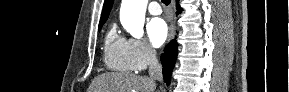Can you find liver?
I'll return each mask as SVG.
<instances>
[{
    "label": "liver",
    "instance_id": "1",
    "mask_svg": "<svg viewBox=\"0 0 289 92\" xmlns=\"http://www.w3.org/2000/svg\"><path fill=\"white\" fill-rule=\"evenodd\" d=\"M156 83L150 77L124 73H103L91 83L88 92H155Z\"/></svg>",
    "mask_w": 289,
    "mask_h": 92
}]
</instances>
